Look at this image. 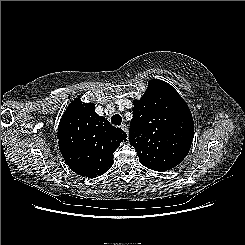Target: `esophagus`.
<instances>
[{"mask_svg": "<svg viewBox=\"0 0 245 245\" xmlns=\"http://www.w3.org/2000/svg\"><path fill=\"white\" fill-rule=\"evenodd\" d=\"M120 128H121L122 130H124L126 133H128V128H127V125H126V124H122V125L120 126Z\"/></svg>", "mask_w": 245, "mask_h": 245, "instance_id": "esophagus-1", "label": "esophagus"}]
</instances>
